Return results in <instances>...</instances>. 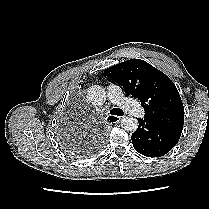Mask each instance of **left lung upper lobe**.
I'll list each match as a JSON object with an SVG mask.
<instances>
[{
  "label": "left lung upper lobe",
  "mask_w": 209,
  "mask_h": 209,
  "mask_svg": "<svg viewBox=\"0 0 209 209\" xmlns=\"http://www.w3.org/2000/svg\"><path fill=\"white\" fill-rule=\"evenodd\" d=\"M104 73L121 85L127 96L141 101L145 119L182 131L183 104L175 84L163 72L143 60L131 59L105 69Z\"/></svg>",
  "instance_id": "obj_1"
}]
</instances>
